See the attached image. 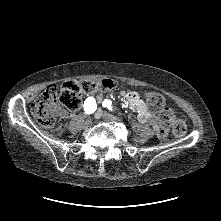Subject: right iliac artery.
Here are the masks:
<instances>
[{
    "instance_id": "right-iliac-artery-1",
    "label": "right iliac artery",
    "mask_w": 221,
    "mask_h": 221,
    "mask_svg": "<svg viewBox=\"0 0 221 221\" xmlns=\"http://www.w3.org/2000/svg\"><path fill=\"white\" fill-rule=\"evenodd\" d=\"M96 109H97V104L95 98L89 97L88 99H86V101L84 102L85 114H92L96 111Z\"/></svg>"
}]
</instances>
